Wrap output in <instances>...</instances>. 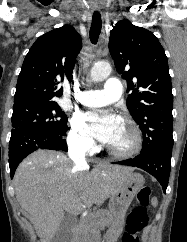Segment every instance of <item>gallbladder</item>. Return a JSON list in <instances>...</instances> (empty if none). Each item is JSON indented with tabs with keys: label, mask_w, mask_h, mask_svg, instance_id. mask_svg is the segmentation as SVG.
<instances>
[{
	"label": "gallbladder",
	"mask_w": 187,
	"mask_h": 242,
	"mask_svg": "<svg viewBox=\"0 0 187 242\" xmlns=\"http://www.w3.org/2000/svg\"><path fill=\"white\" fill-rule=\"evenodd\" d=\"M74 223V216L66 213L51 242H72L71 228Z\"/></svg>",
	"instance_id": "obj_1"
}]
</instances>
